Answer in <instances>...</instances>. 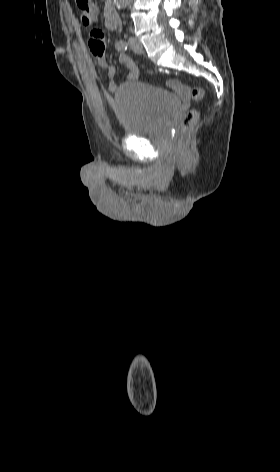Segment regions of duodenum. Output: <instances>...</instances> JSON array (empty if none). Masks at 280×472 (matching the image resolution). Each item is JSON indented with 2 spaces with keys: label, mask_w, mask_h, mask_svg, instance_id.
<instances>
[{
  "label": "duodenum",
  "mask_w": 280,
  "mask_h": 472,
  "mask_svg": "<svg viewBox=\"0 0 280 472\" xmlns=\"http://www.w3.org/2000/svg\"><path fill=\"white\" fill-rule=\"evenodd\" d=\"M105 26L109 30H114L118 26V21L114 15L111 7H107L105 10Z\"/></svg>",
  "instance_id": "obj_1"
}]
</instances>
